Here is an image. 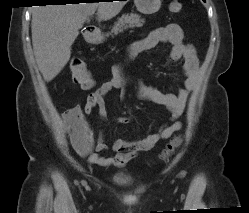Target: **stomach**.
Masks as SVG:
<instances>
[{
	"label": "stomach",
	"mask_w": 249,
	"mask_h": 213,
	"mask_svg": "<svg viewBox=\"0 0 249 213\" xmlns=\"http://www.w3.org/2000/svg\"><path fill=\"white\" fill-rule=\"evenodd\" d=\"M137 10L143 14L156 13L161 7V0H134ZM104 36L101 34H94L89 37L92 43H101Z\"/></svg>",
	"instance_id": "0dacf381"
}]
</instances>
